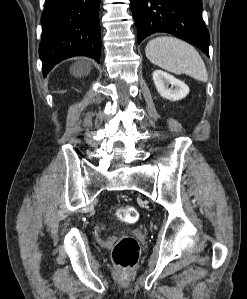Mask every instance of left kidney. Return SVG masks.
I'll list each match as a JSON object with an SVG mask.
<instances>
[{"mask_svg": "<svg viewBox=\"0 0 247 299\" xmlns=\"http://www.w3.org/2000/svg\"><path fill=\"white\" fill-rule=\"evenodd\" d=\"M153 81L160 96L170 101L181 100L189 93V87L184 82L162 70L153 72Z\"/></svg>", "mask_w": 247, "mask_h": 299, "instance_id": "1", "label": "left kidney"}]
</instances>
